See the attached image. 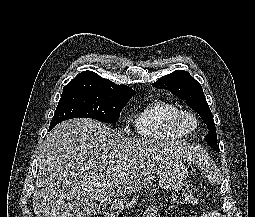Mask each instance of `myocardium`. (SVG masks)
Segmentation results:
<instances>
[{
  "label": "myocardium",
  "instance_id": "obj_1",
  "mask_svg": "<svg viewBox=\"0 0 255 217\" xmlns=\"http://www.w3.org/2000/svg\"><path fill=\"white\" fill-rule=\"evenodd\" d=\"M174 121L178 129L185 135L194 133L199 125L197 117L187 110H179L174 117ZM188 122H191V127L187 125Z\"/></svg>",
  "mask_w": 255,
  "mask_h": 217
}]
</instances>
